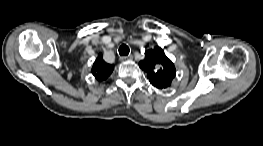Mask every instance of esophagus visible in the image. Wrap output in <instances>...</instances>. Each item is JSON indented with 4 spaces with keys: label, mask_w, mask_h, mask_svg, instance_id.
Masks as SVG:
<instances>
[{
    "label": "esophagus",
    "mask_w": 263,
    "mask_h": 146,
    "mask_svg": "<svg viewBox=\"0 0 263 146\" xmlns=\"http://www.w3.org/2000/svg\"><path fill=\"white\" fill-rule=\"evenodd\" d=\"M129 59H131V56H121L120 57L121 61L129 60Z\"/></svg>",
    "instance_id": "obj_1"
}]
</instances>
